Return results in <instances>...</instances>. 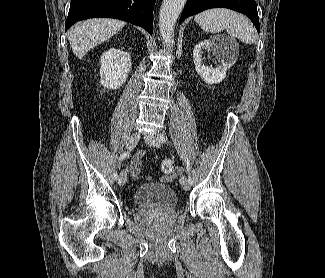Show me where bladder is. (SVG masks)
<instances>
[{
	"label": "bladder",
	"instance_id": "bladder-1",
	"mask_svg": "<svg viewBox=\"0 0 325 278\" xmlns=\"http://www.w3.org/2000/svg\"><path fill=\"white\" fill-rule=\"evenodd\" d=\"M134 202L143 208H172L178 202L173 187L160 183H143L134 193Z\"/></svg>",
	"mask_w": 325,
	"mask_h": 278
}]
</instances>
